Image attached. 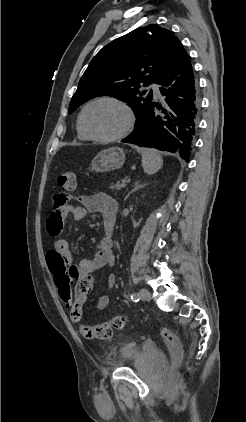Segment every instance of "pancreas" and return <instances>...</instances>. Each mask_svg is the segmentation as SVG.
<instances>
[{
  "label": "pancreas",
  "mask_w": 246,
  "mask_h": 422,
  "mask_svg": "<svg viewBox=\"0 0 246 422\" xmlns=\"http://www.w3.org/2000/svg\"><path fill=\"white\" fill-rule=\"evenodd\" d=\"M126 186V184L124 183V181L122 182V184H120L119 182H117V184L116 185H113V184H111V186H110V188L111 189H117V190H119V189H121V188H123V187H125Z\"/></svg>",
  "instance_id": "pancreas-1"
}]
</instances>
